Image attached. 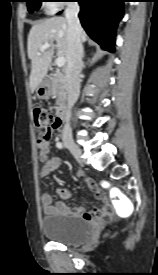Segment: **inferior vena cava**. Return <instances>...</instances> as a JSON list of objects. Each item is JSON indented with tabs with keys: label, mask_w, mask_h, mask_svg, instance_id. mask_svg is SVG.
I'll return each mask as SVG.
<instances>
[{
	"label": "inferior vena cava",
	"mask_w": 158,
	"mask_h": 275,
	"mask_svg": "<svg viewBox=\"0 0 158 275\" xmlns=\"http://www.w3.org/2000/svg\"><path fill=\"white\" fill-rule=\"evenodd\" d=\"M80 6L77 2H70L65 10L68 22V49L66 68V89L68 94V108L65 116L63 136H71L70 110L77 101L80 92V76L83 69V46L81 42L82 27L78 18Z\"/></svg>",
	"instance_id": "inferior-vena-cava-1"
}]
</instances>
